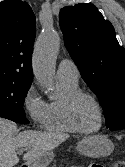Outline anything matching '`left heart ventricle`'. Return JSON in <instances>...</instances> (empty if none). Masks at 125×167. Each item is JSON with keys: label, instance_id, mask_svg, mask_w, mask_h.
Returning a JSON list of instances; mask_svg holds the SVG:
<instances>
[{"label": "left heart ventricle", "instance_id": "obj_1", "mask_svg": "<svg viewBox=\"0 0 125 167\" xmlns=\"http://www.w3.org/2000/svg\"><path fill=\"white\" fill-rule=\"evenodd\" d=\"M75 116L79 126L83 129L92 130L99 124L98 110L95 104L87 98H83L79 101Z\"/></svg>", "mask_w": 125, "mask_h": 167}]
</instances>
